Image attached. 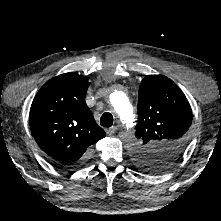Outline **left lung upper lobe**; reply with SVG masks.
Here are the masks:
<instances>
[{
  "label": "left lung upper lobe",
  "instance_id": "1",
  "mask_svg": "<svg viewBox=\"0 0 221 221\" xmlns=\"http://www.w3.org/2000/svg\"><path fill=\"white\" fill-rule=\"evenodd\" d=\"M191 122V107L181 89L166 76H146L139 87V145L133 158L150 172L170 168L182 156Z\"/></svg>",
  "mask_w": 221,
  "mask_h": 221
}]
</instances>
